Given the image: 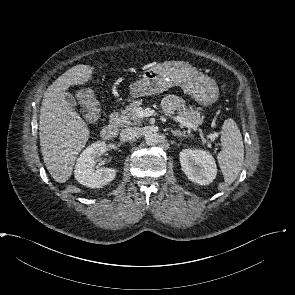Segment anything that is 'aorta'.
Returning <instances> with one entry per match:
<instances>
[{"instance_id":"762f6f07","label":"aorta","mask_w":295,"mask_h":295,"mask_svg":"<svg viewBox=\"0 0 295 295\" xmlns=\"http://www.w3.org/2000/svg\"><path fill=\"white\" fill-rule=\"evenodd\" d=\"M145 141L148 145H155L160 141V136L155 131H148L145 134Z\"/></svg>"}]
</instances>
